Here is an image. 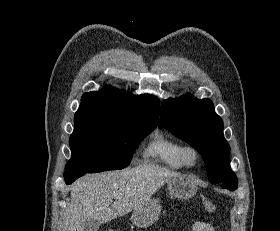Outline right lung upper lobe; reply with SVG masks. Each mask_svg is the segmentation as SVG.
I'll return each instance as SVG.
<instances>
[{
  "mask_svg": "<svg viewBox=\"0 0 280 231\" xmlns=\"http://www.w3.org/2000/svg\"><path fill=\"white\" fill-rule=\"evenodd\" d=\"M159 100L154 96L133 95L130 92L105 87L101 92H88L74 119L112 118L157 126Z\"/></svg>",
  "mask_w": 280,
  "mask_h": 231,
  "instance_id": "cb5924a9",
  "label": "right lung upper lobe"
}]
</instances>
